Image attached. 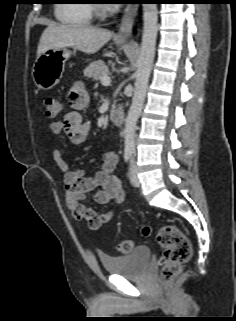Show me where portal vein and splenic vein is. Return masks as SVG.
<instances>
[{
    "instance_id": "portal-vein-and-splenic-vein-1",
    "label": "portal vein and splenic vein",
    "mask_w": 236,
    "mask_h": 321,
    "mask_svg": "<svg viewBox=\"0 0 236 321\" xmlns=\"http://www.w3.org/2000/svg\"><path fill=\"white\" fill-rule=\"evenodd\" d=\"M101 82H102V84L108 85V84H110L111 79L108 75H103L101 77Z\"/></svg>"
}]
</instances>
